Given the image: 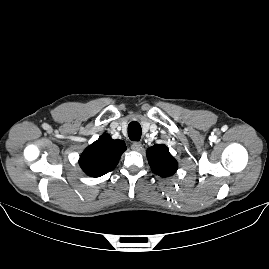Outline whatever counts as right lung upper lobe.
<instances>
[{
	"label": "right lung upper lobe",
	"mask_w": 269,
	"mask_h": 269,
	"mask_svg": "<svg viewBox=\"0 0 269 269\" xmlns=\"http://www.w3.org/2000/svg\"><path fill=\"white\" fill-rule=\"evenodd\" d=\"M125 150L124 141L113 140L104 133L85 149L80 156L79 164L87 175L100 177L116 167Z\"/></svg>",
	"instance_id": "1"
}]
</instances>
